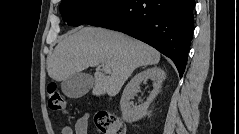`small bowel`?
Listing matches in <instances>:
<instances>
[{
  "mask_svg": "<svg viewBox=\"0 0 239 134\" xmlns=\"http://www.w3.org/2000/svg\"><path fill=\"white\" fill-rule=\"evenodd\" d=\"M89 118L90 115L88 113H84L76 121L74 129L70 126H63L61 128V134H88Z\"/></svg>",
  "mask_w": 239,
  "mask_h": 134,
  "instance_id": "c3829d8e",
  "label": "small bowel"
}]
</instances>
